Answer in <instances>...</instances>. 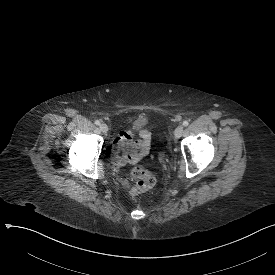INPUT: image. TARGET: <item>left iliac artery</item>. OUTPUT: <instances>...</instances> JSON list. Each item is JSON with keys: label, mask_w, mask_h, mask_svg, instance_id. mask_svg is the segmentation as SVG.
<instances>
[{"label": "left iliac artery", "mask_w": 275, "mask_h": 275, "mask_svg": "<svg viewBox=\"0 0 275 275\" xmlns=\"http://www.w3.org/2000/svg\"><path fill=\"white\" fill-rule=\"evenodd\" d=\"M189 125V122L187 120L183 121V126L187 127Z\"/></svg>", "instance_id": "1"}]
</instances>
